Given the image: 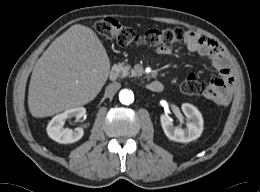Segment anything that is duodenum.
I'll list each match as a JSON object with an SVG mask.
<instances>
[{"instance_id": "410a0bca", "label": "duodenum", "mask_w": 260, "mask_h": 192, "mask_svg": "<svg viewBox=\"0 0 260 192\" xmlns=\"http://www.w3.org/2000/svg\"><path fill=\"white\" fill-rule=\"evenodd\" d=\"M118 72L116 69H112L109 73L110 80L114 81L117 79ZM147 89L151 92H161L163 90V84L158 81L154 80L147 84Z\"/></svg>"}]
</instances>
